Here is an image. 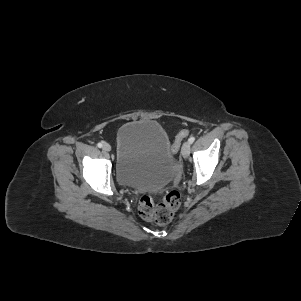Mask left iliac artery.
I'll list each match as a JSON object with an SVG mask.
<instances>
[{
    "label": "left iliac artery",
    "mask_w": 301,
    "mask_h": 301,
    "mask_svg": "<svg viewBox=\"0 0 301 301\" xmlns=\"http://www.w3.org/2000/svg\"><path fill=\"white\" fill-rule=\"evenodd\" d=\"M194 141H195V137H194V136H191V137L189 138L190 144H192Z\"/></svg>",
    "instance_id": "obj_1"
}]
</instances>
